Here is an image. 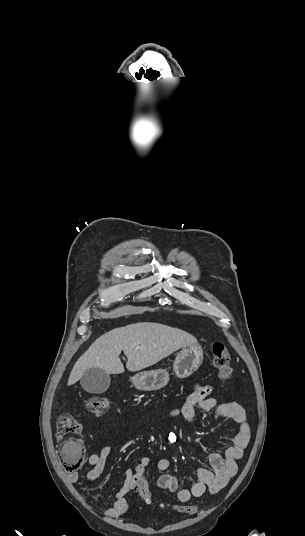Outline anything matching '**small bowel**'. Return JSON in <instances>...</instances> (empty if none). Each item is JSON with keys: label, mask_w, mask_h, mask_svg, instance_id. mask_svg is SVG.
I'll use <instances>...</instances> for the list:
<instances>
[{"label": "small bowel", "mask_w": 305, "mask_h": 536, "mask_svg": "<svg viewBox=\"0 0 305 536\" xmlns=\"http://www.w3.org/2000/svg\"><path fill=\"white\" fill-rule=\"evenodd\" d=\"M211 387L209 385L196 384L188 396L186 402L178 408H174L158 418L162 422L173 418H182L188 424L192 422L194 409L198 407L203 411H213L214 418H227L236 422L239 426L237 433L232 438L231 445L226 448L224 454H209L210 469H199L196 473L197 481L190 489H179L176 477L164 474L158 477L156 485L159 489L169 492H176L178 500H191L204 495L208 490L215 494L223 489L230 479L237 473L236 461L243 456L245 448L250 441V425L244 408L237 402H219L210 396ZM111 454L109 445L101 446L99 453L88 455L84 463L93 466L86 475L84 482L89 484L98 479L104 471L107 460ZM150 458L142 456L132 469L125 472V480L119 491L116 493L112 505L104 509V513L112 518L122 516L129 508L126 495L135 491V485L140 479H145L146 469L150 465ZM172 461L169 458H161L157 461V469L165 472L170 469ZM79 479L77 471L68 475L71 483H76Z\"/></svg>", "instance_id": "obj_1"}]
</instances>
